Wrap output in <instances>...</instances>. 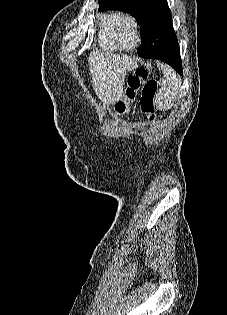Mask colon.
I'll use <instances>...</instances> for the list:
<instances>
[{"mask_svg": "<svg viewBox=\"0 0 227 315\" xmlns=\"http://www.w3.org/2000/svg\"><path fill=\"white\" fill-rule=\"evenodd\" d=\"M157 89V81L148 78V71L145 68H137L128 74L123 98L118 101L116 109L121 113L125 112L128 104L135 101L140 91L141 110L147 115L148 120L153 121Z\"/></svg>", "mask_w": 227, "mask_h": 315, "instance_id": "obj_1", "label": "colon"}]
</instances>
